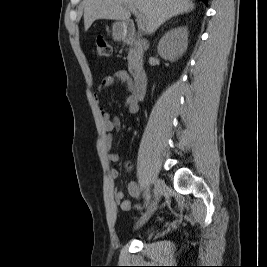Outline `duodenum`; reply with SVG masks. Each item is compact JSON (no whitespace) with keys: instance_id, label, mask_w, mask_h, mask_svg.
Instances as JSON below:
<instances>
[{"instance_id":"410a0bca","label":"duodenum","mask_w":267,"mask_h":267,"mask_svg":"<svg viewBox=\"0 0 267 267\" xmlns=\"http://www.w3.org/2000/svg\"><path fill=\"white\" fill-rule=\"evenodd\" d=\"M123 37L128 42H138L141 46L146 43L138 41L135 34V26L132 21H126L123 26ZM147 74L144 69L136 68L133 71L132 94L137 100H141L146 92Z\"/></svg>"}]
</instances>
